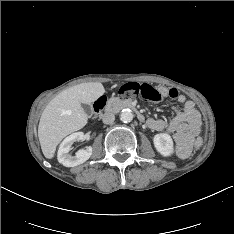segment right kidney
Here are the masks:
<instances>
[{"label":"right kidney","mask_w":234,"mask_h":234,"mask_svg":"<svg viewBox=\"0 0 234 234\" xmlns=\"http://www.w3.org/2000/svg\"><path fill=\"white\" fill-rule=\"evenodd\" d=\"M85 139L83 132H76L66 137L60 144L57 159L65 167H74L86 162L92 155V147H86L76 152L75 156H71L69 152L72 150L74 142Z\"/></svg>","instance_id":"right-kidney-1"}]
</instances>
